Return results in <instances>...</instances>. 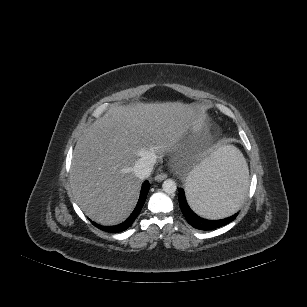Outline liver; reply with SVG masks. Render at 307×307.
<instances>
[{
	"label": "liver",
	"mask_w": 307,
	"mask_h": 307,
	"mask_svg": "<svg viewBox=\"0 0 307 307\" xmlns=\"http://www.w3.org/2000/svg\"><path fill=\"white\" fill-rule=\"evenodd\" d=\"M205 125L204 111L192 103L137 102L108 111L75 146L70 182L76 202L97 223L123 222L142 184L135 162L149 153L180 152L188 135Z\"/></svg>",
	"instance_id": "1"
}]
</instances>
